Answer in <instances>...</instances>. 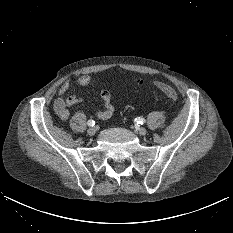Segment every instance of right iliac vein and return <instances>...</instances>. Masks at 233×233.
I'll use <instances>...</instances> for the list:
<instances>
[{"mask_svg":"<svg viewBox=\"0 0 233 233\" xmlns=\"http://www.w3.org/2000/svg\"><path fill=\"white\" fill-rule=\"evenodd\" d=\"M87 133L89 135H95L97 133V127H90L88 130H87Z\"/></svg>","mask_w":233,"mask_h":233,"instance_id":"right-iliac-vein-1","label":"right iliac vein"}]
</instances>
